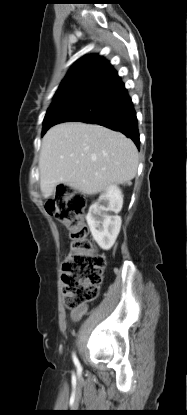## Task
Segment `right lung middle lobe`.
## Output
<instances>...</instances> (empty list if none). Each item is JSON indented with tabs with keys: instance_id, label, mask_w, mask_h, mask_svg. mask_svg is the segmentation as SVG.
<instances>
[{
	"instance_id": "right-lung-middle-lobe-1",
	"label": "right lung middle lobe",
	"mask_w": 187,
	"mask_h": 415,
	"mask_svg": "<svg viewBox=\"0 0 187 415\" xmlns=\"http://www.w3.org/2000/svg\"><path fill=\"white\" fill-rule=\"evenodd\" d=\"M64 101L61 100L57 103H54L51 105V107L48 109L45 118H44V123H43V130H42V136L45 134V132L49 129V123H50V116L51 114L55 111V109L58 107L59 104H62Z\"/></svg>"
}]
</instances>
